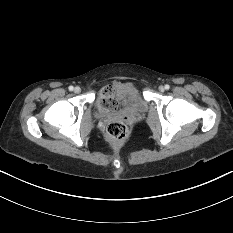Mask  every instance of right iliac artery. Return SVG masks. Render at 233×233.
<instances>
[{"mask_svg":"<svg viewBox=\"0 0 233 233\" xmlns=\"http://www.w3.org/2000/svg\"><path fill=\"white\" fill-rule=\"evenodd\" d=\"M70 91H73L74 90V87L73 86H69L68 88Z\"/></svg>","mask_w":233,"mask_h":233,"instance_id":"1","label":"right iliac artery"}]
</instances>
